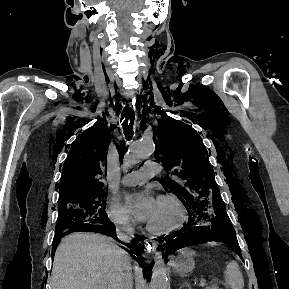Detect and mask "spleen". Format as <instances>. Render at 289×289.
Instances as JSON below:
<instances>
[{"mask_svg": "<svg viewBox=\"0 0 289 289\" xmlns=\"http://www.w3.org/2000/svg\"><path fill=\"white\" fill-rule=\"evenodd\" d=\"M224 278L231 289H243L244 280L237 262L231 261L226 265Z\"/></svg>", "mask_w": 289, "mask_h": 289, "instance_id": "spleen-1", "label": "spleen"}]
</instances>
